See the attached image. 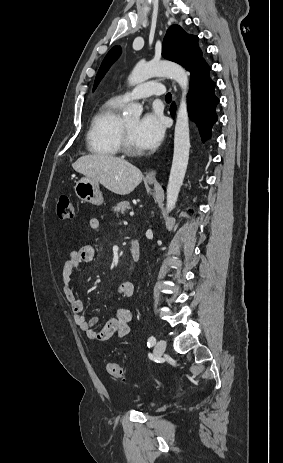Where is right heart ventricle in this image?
I'll use <instances>...</instances> for the list:
<instances>
[{
	"label": "right heart ventricle",
	"mask_w": 283,
	"mask_h": 463,
	"mask_svg": "<svg viewBox=\"0 0 283 463\" xmlns=\"http://www.w3.org/2000/svg\"><path fill=\"white\" fill-rule=\"evenodd\" d=\"M124 102L113 97L95 112L87 133L88 150L98 156L112 157L120 151V109Z\"/></svg>",
	"instance_id": "obj_1"
}]
</instances>
